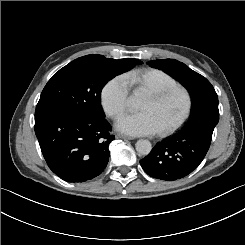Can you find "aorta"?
Instances as JSON below:
<instances>
[{
    "instance_id": "1",
    "label": "aorta",
    "mask_w": 245,
    "mask_h": 245,
    "mask_svg": "<svg viewBox=\"0 0 245 245\" xmlns=\"http://www.w3.org/2000/svg\"><path fill=\"white\" fill-rule=\"evenodd\" d=\"M131 101L136 102V98H131ZM135 148L139 155L147 156L152 150V145L149 140L140 139L136 142Z\"/></svg>"
}]
</instances>
